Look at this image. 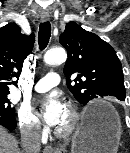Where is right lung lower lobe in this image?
I'll return each instance as SVG.
<instances>
[{"label":"right lung lower lobe","mask_w":130,"mask_h":153,"mask_svg":"<svg viewBox=\"0 0 130 153\" xmlns=\"http://www.w3.org/2000/svg\"><path fill=\"white\" fill-rule=\"evenodd\" d=\"M0 125L4 126L8 130L12 131L16 128L17 122L15 120V117H9L3 113H0Z\"/></svg>","instance_id":"1"}]
</instances>
